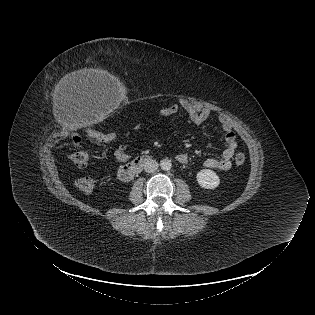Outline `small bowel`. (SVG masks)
<instances>
[{"label": "small bowel", "instance_id": "obj_1", "mask_svg": "<svg viewBox=\"0 0 315 315\" xmlns=\"http://www.w3.org/2000/svg\"><path fill=\"white\" fill-rule=\"evenodd\" d=\"M182 108L191 121L195 124H201L206 121L212 114L209 108L201 107L188 101L181 100L179 104H172L164 107L158 111V115L161 117H168L176 114L179 109ZM218 122L223 130V138L226 142V148L224 149L220 158H208L204 162V166L209 169H217L221 171H227L232 166V159L237 149L236 135L233 131L232 121L230 117L224 113L218 115ZM142 128V123H137L131 131L126 132V136H129L132 131H138ZM113 156L116 161L125 163L129 160L130 156L127 152V148L124 145L115 149ZM176 159L180 163H186L188 156L185 153H180L176 156Z\"/></svg>", "mask_w": 315, "mask_h": 315}]
</instances>
